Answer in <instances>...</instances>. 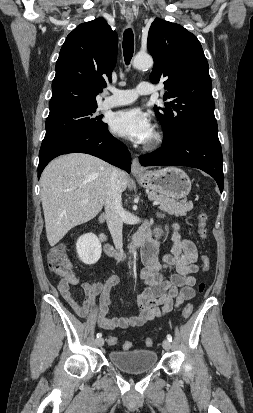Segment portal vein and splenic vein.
Instances as JSON below:
<instances>
[{"mask_svg":"<svg viewBox=\"0 0 253 413\" xmlns=\"http://www.w3.org/2000/svg\"><path fill=\"white\" fill-rule=\"evenodd\" d=\"M87 202H88L87 200H83V203H87ZM153 204H154V205H158L159 202H158V201H153Z\"/></svg>","mask_w":253,"mask_h":413,"instance_id":"obj_1","label":"portal vein and splenic vein"}]
</instances>
